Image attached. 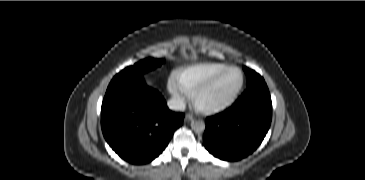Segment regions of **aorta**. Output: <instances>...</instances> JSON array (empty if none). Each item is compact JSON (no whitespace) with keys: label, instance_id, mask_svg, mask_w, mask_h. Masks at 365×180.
<instances>
[{"label":"aorta","instance_id":"1","mask_svg":"<svg viewBox=\"0 0 365 180\" xmlns=\"http://www.w3.org/2000/svg\"><path fill=\"white\" fill-rule=\"evenodd\" d=\"M191 127L195 132H203L205 130V123L202 120H195L191 122Z\"/></svg>","mask_w":365,"mask_h":180}]
</instances>
